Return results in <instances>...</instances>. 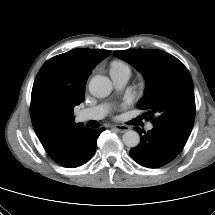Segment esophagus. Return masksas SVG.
<instances>
[{
  "label": "esophagus",
  "instance_id": "34e87169",
  "mask_svg": "<svg viewBox=\"0 0 215 215\" xmlns=\"http://www.w3.org/2000/svg\"><path fill=\"white\" fill-rule=\"evenodd\" d=\"M113 129H115L116 131H118L120 133H124V132H127L128 130H130L129 126H127V125H114Z\"/></svg>",
  "mask_w": 215,
  "mask_h": 215
}]
</instances>
